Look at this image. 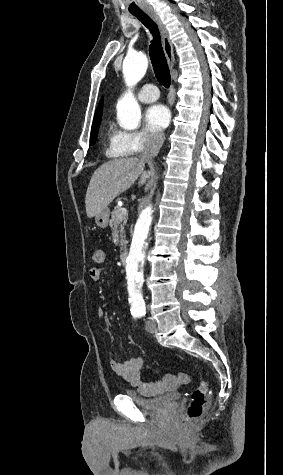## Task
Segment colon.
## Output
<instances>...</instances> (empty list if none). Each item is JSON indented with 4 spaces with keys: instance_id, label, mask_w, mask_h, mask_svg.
<instances>
[{
    "instance_id": "obj_1",
    "label": "colon",
    "mask_w": 283,
    "mask_h": 475,
    "mask_svg": "<svg viewBox=\"0 0 283 475\" xmlns=\"http://www.w3.org/2000/svg\"><path fill=\"white\" fill-rule=\"evenodd\" d=\"M92 260L96 264H102L106 260V252L102 248H93ZM208 383L206 380H199L196 388L192 392L191 400L188 404L183 423L196 421L202 418L209 404L208 400Z\"/></svg>"
}]
</instances>
